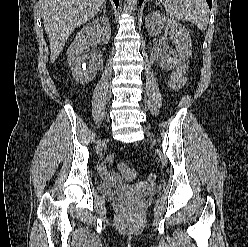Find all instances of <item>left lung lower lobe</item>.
I'll use <instances>...</instances> for the list:
<instances>
[{
	"label": "left lung lower lobe",
	"instance_id": "0a47b994",
	"mask_svg": "<svg viewBox=\"0 0 248 247\" xmlns=\"http://www.w3.org/2000/svg\"><path fill=\"white\" fill-rule=\"evenodd\" d=\"M143 1H144V0H139V5H140V6H141V4H142ZM206 1H207L208 5H209V7H210V9H211L212 0H206Z\"/></svg>",
	"mask_w": 248,
	"mask_h": 247
}]
</instances>
